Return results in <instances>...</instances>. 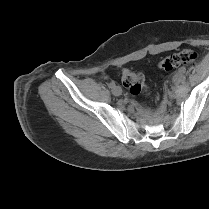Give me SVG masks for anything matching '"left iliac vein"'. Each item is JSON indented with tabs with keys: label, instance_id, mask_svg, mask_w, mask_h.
<instances>
[{
	"label": "left iliac vein",
	"instance_id": "left-iliac-vein-1",
	"mask_svg": "<svg viewBox=\"0 0 209 209\" xmlns=\"http://www.w3.org/2000/svg\"><path fill=\"white\" fill-rule=\"evenodd\" d=\"M172 80L174 84H179L181 80V74L175 73L174 76L172 77Z\"/></svg>",
	"mask_w": 209,
	"mask_h": 209
}]
</instances>
